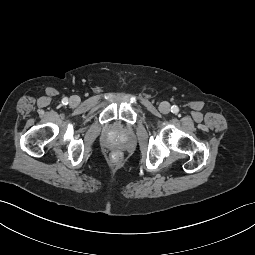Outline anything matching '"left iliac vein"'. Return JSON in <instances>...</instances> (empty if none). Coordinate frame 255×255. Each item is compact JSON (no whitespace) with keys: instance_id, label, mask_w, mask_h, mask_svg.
Returning a JSON list of instances; mask_svg holds the SVG:
<instances>
[{"instance_id":"1","label":"left iliac vein","mask_w":255,"mask_h":255,"mask_svg":"<svg viewBox=\"0 0 255 255\" xmlns=\"http://www.w3.org/2000/svg\"><path fill=\"white\" fill-rule=\"evenodd\" d=\"M159 110L163 114H168L170 112V104L168 102H162L159 105Z\"/></svg>"}]
</instances>
